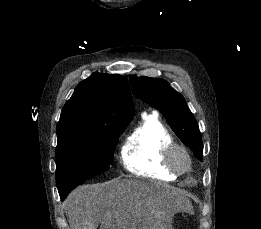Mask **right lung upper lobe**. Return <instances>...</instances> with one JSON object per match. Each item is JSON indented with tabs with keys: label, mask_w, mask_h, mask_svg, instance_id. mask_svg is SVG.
Segmentation results:
<instances>
[{
	"label": "right lung upper lobe",
	"mask_w": 261,
	"mask_h": 229,
	"mask_svg": "<svg viewBox=\"0 0 261 229\" xmlns=\"http://www.w3.org/2000/svg\"><path fill=\"white\" fill-rule=\"evenodd\" d=\"M133 116L126 79L95 72L77 85L64 105L57 123V145L94 134L99 127L129 124Z\"/></svg>",
	"instance_id": "right-lung-upper-lobe-1"
}]
</instances>
